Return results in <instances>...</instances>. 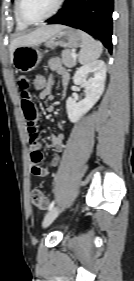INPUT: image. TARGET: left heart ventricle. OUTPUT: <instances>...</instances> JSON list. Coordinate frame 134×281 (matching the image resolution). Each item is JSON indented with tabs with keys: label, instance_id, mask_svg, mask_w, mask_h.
I'll use <instances>...</instances> for the list:
<instances>
[{
	"label": "left heart ventricle",
	"instance_id": "b2bd125f",
	"mask_svg": "<svg viewBox=\"0 0 134 281\" xmlns=\"http://www.w3.org/2000/svg\"><path fill=\"white\" fill-rule=\"evenodd\" d=\"M58 0H22V11L29 19H40L48 15Z\"/></svg>",
	"mask_w": 134,
	"mask_h": 281
}]
</instances>
